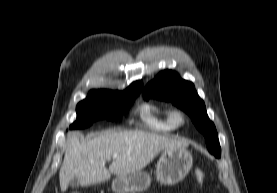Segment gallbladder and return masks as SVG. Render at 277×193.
Listing matches in <instances>:
<instances>
[{
  "instance_id": "gallbladder-1",
  "label": "gallbladder",
  "mask_w": 277,
  "mask_h": 193,
  "mask_svg": "<svg viewBox=\"0 0 277 193\" xmlns=\"http://www.w3.org/2000/svg\"><path fill=\"white\" fill-rule=\"evenodd\" d=\"M70 186L71 187H78L79 186V183H78V181H77V179H73V180H71L70 181Z\"/></svg>"
}]
</instances>
